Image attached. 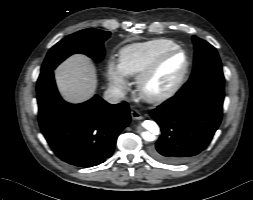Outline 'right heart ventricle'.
<instances>
[{"mask_svg":"<svg viewBox=\"0 0 253 200\" xmlns=\"http://www.w3.org/2000/svg\"><path fill=\"white\" fill-rule=\"evenodd\" d=\"M175 47H178V45L166 38L132 43L120 50L119 65L126 76H137L160 53Z\"/></svg>","mask_w":253,"mask_h":200,"instance_id":"right-heart-ventricle-1","label":"right heart ventricle"}]
</instances>
